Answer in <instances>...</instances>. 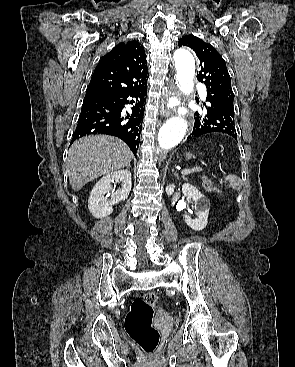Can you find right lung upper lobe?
I'll return each instance as SVG.
<instances>
[{
    "label": "right lung upper lobe",
    "instance_id": "cb5924a9",
    "mask_svg": "<svg viewBox=\"0 0 295 367\" xmlns=\"http://www.w3.org/2000/svg\"><path fill=\"white\" fill-rule=\"evenodd\" d=\"M144 48L136 40L116 45L96 66L87 90L124 92L147 86Z\"/></svg>",
    "mask_w": 295,
    "mask_h": 367
}]
</instances>
